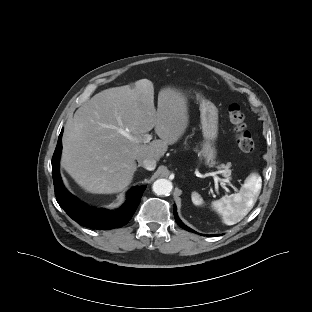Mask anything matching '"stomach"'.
<instances>
[{"instance_id":"1","label":"stomach","mask_w":312,"mask_h":312,"mask_svg":"<svg viewBox=\"0 0 312 312\" xmlns=\"http://www.w3.org/2000/svg\"><path fill=\"white\" fill-rule=\"evenodd\" d=\"M186 94L201 101L200 118L204 141L201 144V154L207 162L216 158L215 142L218 137V109L209 100L203 99L201 91L188 88Z\"/></svg>"}]
</instances>
